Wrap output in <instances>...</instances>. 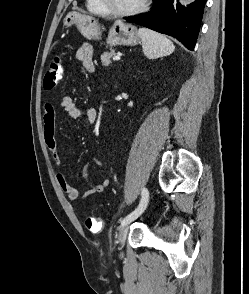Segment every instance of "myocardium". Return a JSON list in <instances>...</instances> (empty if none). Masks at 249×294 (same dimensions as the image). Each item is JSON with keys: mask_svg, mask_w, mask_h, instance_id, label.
<instances>
[{"mask_svg": "<svg viewBox=\"0 0 249 294\" xmlns=\"http://www.w3.org/2000/svg\"><path fill=\"white\" fill-rule=\"evenodd\" d=\"M99 3L106 11V15L115 17H129L144 11L149 3V0H142L136 7L125 11H119L111 8L106 0H99Z\"/></svg>", "mask_w": 249, "mask_h": 294, "instance_id": "1", "label": "myocardium"}]
</instances>
